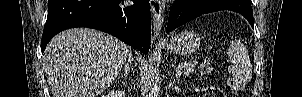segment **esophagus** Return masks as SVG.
<instances>
[{"mask_svg": "<svg viewBox=\"0 0 302 97\" xmlns=\"http://www.w3.org/2000/svg\"><path fill=\"white\" fill-rule=\"evenodd\" d=\"M151 12L153 16V31L156 38L160 37L162 24L164 21V5L160 0H150Z\"/></svg>", "mask_w": 302, "mask_h": 97, "instance_id": "34e87169", "label": "esophagus"}]
</instances>
